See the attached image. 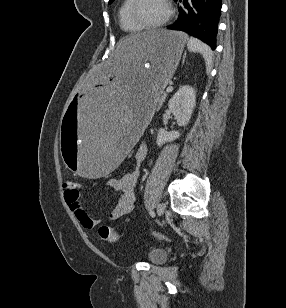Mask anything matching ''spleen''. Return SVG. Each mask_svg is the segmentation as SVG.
<instances>
[{"label": "spleen", "instance_id": "obj_1", "mask_svg": "<svg viewBox=\"0 0 286 308\" xmlns=\"http://www.w3.org/2000/svg\"><path fill=\"white\" fill-rule=\"evenodd\" d=\"M187 48L189 52L200 53L203 56L206 64V72L209 73L213 63L210 47L199 39L190 37L187 41Z\"/></svg>", "mask_w": 286, "mask_h": 308}]
</instances>
